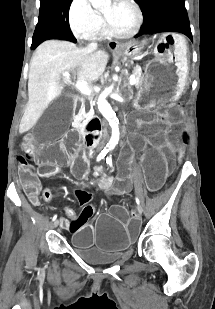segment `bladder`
Here are the masks:
<instances>
[{"mask_svg": "<svg viewBox=\"0 0 215 309\" xmlns=\"http://www.w3.org/2000/svg\"><path fill=\"white\" fill-rule=\"evenodd\" d=\"M82 259L88 263L95 265H107L118 261L121 258V254H84L80 253Z\"/></svg>", "mask_w": 215, "mask_h": 309, "instance_id": "31cf9c89", "label": "bladder"}]
</instances>
